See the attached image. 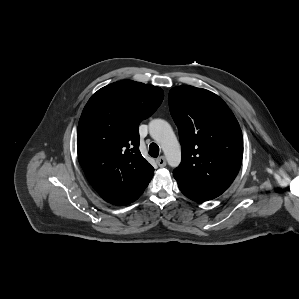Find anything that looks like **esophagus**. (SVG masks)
I'll return each instance as SVG.
<instances>
[{
  "mask_svg": "<svg viewBox=\"0 0 299 299\" xmlns=\"http://www.w3.org/2000/svg\"><path fill=\"white\" fill-rule=\"evenodd\" d=\"M157 164L159 167H165L166 166V159L164 156H161L159 157L157 160H156Z\"/></svg>",
  "mask_w": 299,
  "mask_h": 299,
  "instance_id": "34e87169",
  "label": "esophagus"
}]
</instances>
